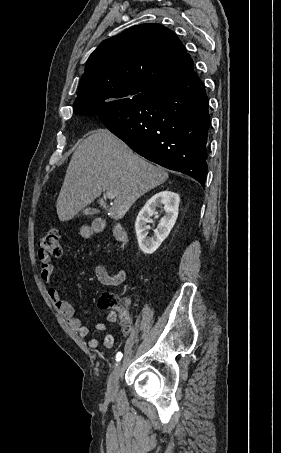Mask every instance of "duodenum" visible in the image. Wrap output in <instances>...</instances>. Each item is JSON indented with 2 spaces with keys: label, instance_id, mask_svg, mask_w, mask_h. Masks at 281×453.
Listing matches in <instances>:
<instances>
[{
  "label": "duodenum",
  "instance_id": "obj_1",
  "mask_svg": "<svg viewBox=\"0 0 281 453\" xmlns=\"http://www.w3.org/2000/svg\"><path fill=\"white\" fill-rule=\"evenodd\" d=\"M115 234H116L118 239L124 240L125 234H124L123 230L120 227L115 228Z\"/></svg>",
  "mask_w": 281,
  "mask_h": 453
}]
</instances>
